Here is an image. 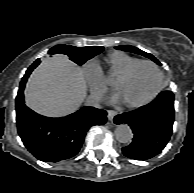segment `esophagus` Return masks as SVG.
Segmentation results:
<instances>
[{
	"label": "esophagus",
	"instance_id": "1",
	"mask_svg": "<svg viewBox=\"0 0 194 193\" xmlns=\"http://www.w3.org/2000/svg\"><path fill=\"white\" fill-rule=\"evenodd\" d=\"M117 115V112L115 110H108L107 117L111 121L113 118Z\"/></svg>",
	"mask_w": 194,
	"mask_h": 193
}]
</instances>
